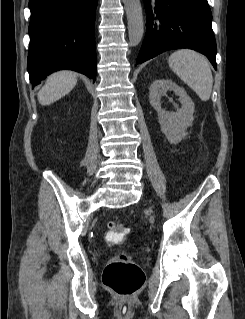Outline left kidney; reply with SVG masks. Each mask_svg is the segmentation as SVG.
<instances>
[{
    "instance_id": "1",
    "label": "left kidney",
    "mask_w": 245,
    "mask_h": 319,
    "mask_svg": "<svg viewBox=\"0 0 245 319\" xmlns=\"http://www.w3.org/2000/svg\"><path fill=\"white\" fill-rule=\"evenodd\" d=\"M168 90L179 96L182 107L176 112L165 111L161 107V96ZM149 100L157 111L161 131L170 143L177 144L187 136L186 130L192 125L194 103L185 90L169 79L154 81L149 88Z\"/></svg>"
}]
</instances>
